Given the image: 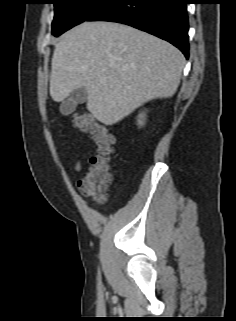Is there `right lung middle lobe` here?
<instances>
[{
	"instance_id": "dd1d6c3e",
	"label": "right lung middle lobe",
	"mask_w": 236,
	"mask_h": 321,
	"mask_svg": "<svg viewBox=\"0 0 236 321\" xmlns=\"http://www.w3.org/2000/svg\"><path fill=\"white\" fill-rule=\"evenodd\" d=\"M107 2L109 0H53L55 16L52 22V34L57 37L84 22Z\"/></svg>"
}]
</instances>
